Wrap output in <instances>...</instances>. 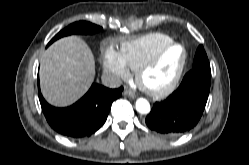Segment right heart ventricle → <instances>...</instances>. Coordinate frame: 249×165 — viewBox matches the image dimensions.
Returning a JSON list of instances; mask_svg holds the SVG:
<instances>
[{
	"label": "right heart ventricle",
	"instance_id": "1",
	"mask_svg": "<svg viewBox=\"0 0 249 165\" xmlns=\"http://www.w3.org/2000/svg\"><path fill=\"white\" fill-rule=\"evenodd\" d=\"M171 42H173V39L167 34L149 33L123 43L120 48V55L129 69L135 71L144 61L154 57Z\"/></svg>",
	"mask_w": 249,
	"mask_h": 165
}]
</instances>
